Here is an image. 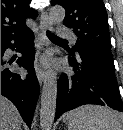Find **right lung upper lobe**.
<instances>
[{
    "mask_svg": "<svg viewBox=\"0 0 123 130\" xmlns=\"http://www.w3.org/2000/svg\"><path fill=\"white\" fill-rule=\"evenodd\" d=\"M30 0H1V41L25 35L30 31L27 18H35L37 11L29 7Z\"/></svg>",
    "mask_w": 123,
    "mask_h": 130,
    "instance_id": "right-lung-upper-lobe-1",
    "label": "right lung upper lobe"
}]
</instances>
